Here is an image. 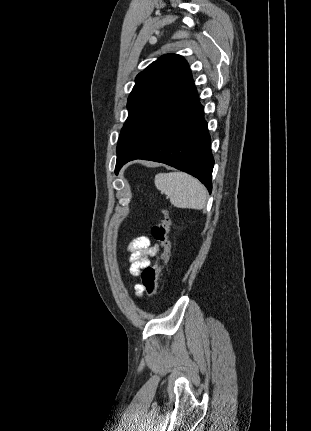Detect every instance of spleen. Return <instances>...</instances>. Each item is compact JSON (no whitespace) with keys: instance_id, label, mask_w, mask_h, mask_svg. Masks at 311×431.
<instances>
[{"instance_id":"obj_1","label":"spleen","mask_w":311,"mask_h":431,"mask_svg":"<svg viewBox=\"0 0 311 431\" xmlns=\"http://www.w3.org/2000/svg\"><path fill=\"white\" fill-rule=\"evenodd\" d=\"M154 184L157 190H161L165 196H168L175 208L202 210L206 206V188L199 180L184 172L157 174Z\"/></svg>"}]
</instances>
